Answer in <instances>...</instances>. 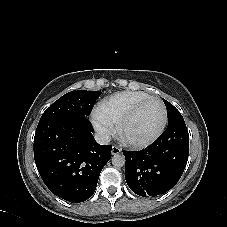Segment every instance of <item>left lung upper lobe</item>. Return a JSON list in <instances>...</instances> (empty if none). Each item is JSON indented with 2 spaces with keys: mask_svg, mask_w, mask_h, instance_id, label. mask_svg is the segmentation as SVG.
Wrapping results in <instances>:
<instances>
[{
  "mask_svg": "<svg viewBox=\"0 0 227 227\" xmlns=\"http://www.w3.org/2000/svg\"><path fill=\"white\" fill-rule=\"evenodd\" d=\"M166 108H167V113H168V122L173 121L179 117H182L180 112L167 100L163 99Z\"/></svg>",
  "mask_w": 227,
  "mask_h": 227,
  "instance_id": "left-lung-upper-lobe-1",
  "label": "left lung upper lobe"
}]
</instances>
